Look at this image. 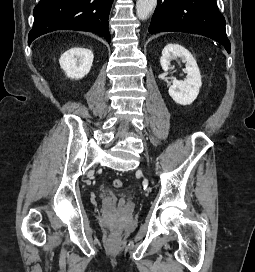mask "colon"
Instances as JSON below:
<instances>
[{"label":"colon","instance_id":"5ec220e1","mask_svg":"<svg viewBox=\"0 0 255 272\" xmlns=\"http://www.w3.org/2000/svg\"><path fill=\"white\" fill-rule=\"evenodd\" d=\"M113 186L115 188H121L123 186V181L121 179H114Z\"/></svg>","mask_w":255,"mask_h":272}]
</instances>
